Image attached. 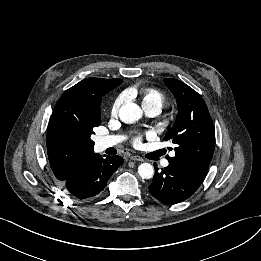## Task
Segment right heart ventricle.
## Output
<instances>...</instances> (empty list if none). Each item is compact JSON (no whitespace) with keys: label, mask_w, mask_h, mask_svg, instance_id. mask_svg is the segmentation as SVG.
<instances>
[{"label":"right heart ventricle","mask_w":261,"mask_h":261,"mask_svg":"<svg viewBox=\"0 0 261 261\" xmlns=\"http://www.w3.org/2000/svg\"><path fill=\"white\" fill-rule=\"evenodd\" d=\"M126 93L127 95H130L132 90H127ZM140 95L142 97V104L145 110L148 108H158L161 110L166 100L165 95L157 89H146L140 92Z\"/></svg>","instance_id":"e07e8e85"}]
</instances>
